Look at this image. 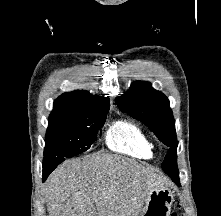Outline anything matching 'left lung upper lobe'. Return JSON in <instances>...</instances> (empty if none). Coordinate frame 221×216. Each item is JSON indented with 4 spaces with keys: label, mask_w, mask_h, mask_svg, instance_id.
Wrapping results in <instances>:
<instances>
[{
    "label": "left lung upper lobe",
    "mask_w": 221,
    "mask_h": 216,
    "mask_svg": "<svg viewBox=\"0 0 221 216\" xmlns=\"http://www.w3.org/2000/svg\"><path fill=\"white\" fill-rule=\"evenodd\" d=\"M115 102L121 111L147 125L160 141L170 147L162 162V169L173 181L178 180V142L168 98L153 89L150 83L136 81L125 94L116 97Z\"/></svg>",
    "instance_id": "5c2ea615"
}]
</instances>
